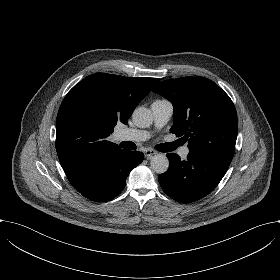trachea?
<instances>
[{
	"label": "trachea",
	"mask_w": 280,
	"mask_h": 280,
	"mask_svg": "<svg viewBox=\"0 0 280 280\" xmlns=\"http://www.w3.org/2000/svg\"><path fill=\"white\" fill-rule=\"evenodd\" d=\"M121 147L128 149V150H133L135 149V145L131 142H121ZM181 145V142L179 140H176L171 143H162L156 146V149L161 152H171L175 150L178 146Z\"/></svg>",
	"instance_id": "1"
}]
</instances>
